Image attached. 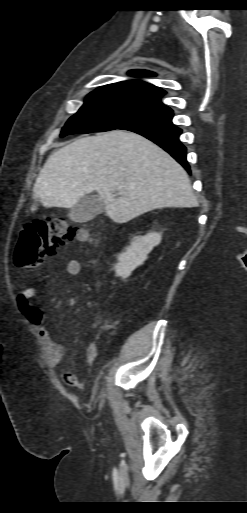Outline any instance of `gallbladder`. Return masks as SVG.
Listing matches in <instances>:
<instances>
[{"instance_id": "1", "label": "gallbladder", "mask_w": 247, "mask_h": 513, "mask_svg": "<svg viewBox=\"0 0 247 513\" xmlns=\"http://www.w3.org/2000/svg\"><path fill=\"white\" fill-rule=\"evenodd\" d=\"M104 212V203L97 195H87L72 206L68 217L77 223H84L93 220L97 215Z\"/></svg>"}]
</instances>
